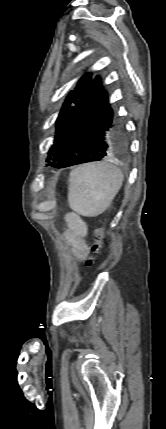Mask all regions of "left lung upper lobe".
Returning a JSON list of instances; mask_svg holds the SVG:
<instances>
[{
	"instance_id": "left-lung-upper-lobe-1",
	"label": "left lung upper lobe",
	"mask_w": 166,
	"mask_h": 429,
	"mask_svg": "<svg viewBox=\"0 0 166 429\" xmlns=\"http://www.w3.org/2000/svg\"><path fill=\"white\" fill-rule=\"evenodd\" d=\"M91 78V73L84 74L81 79L78 81L76 88L71 91L66 98L63 107L61 109V112L56 120V135L54 139V145L50 148L48 152L47 162L51 159V157L54 155L61 138L63 136V133L67 127L70 115L72 113V110L77 103L80 96L83 94L84 90L86 89L89 80Z\"/></svg>"
}]
</instances>
